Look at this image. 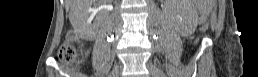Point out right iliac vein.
Here are the masks:
<instances>
[{"label": "right iliac vein", "instance_id": "63e3f726", "mask_svg": "<svg viewBox=\"0 0 258 77\" xmlns=\"http://www.w3.org/2000/svg\"><path fill=\"white\" fill-rule=\"evenodd\" d=\"M118 68L116 67L114 70H113V72H112V74H113V76L112 77H116L117 76V74H118Z\"/></svg>", "mask_w": 258, "mask_h": 77}]
</instances>
